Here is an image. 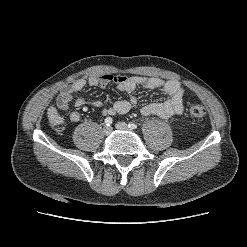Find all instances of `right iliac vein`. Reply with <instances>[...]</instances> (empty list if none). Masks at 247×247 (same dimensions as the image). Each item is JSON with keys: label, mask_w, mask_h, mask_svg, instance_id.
Masks as SVG:
<instances>
[{"label": "right iliac vein", "mask_w": 247, "mask_h": 247, "mask_svg": "<svg viewBox=\"0 0 247 247\" xmlns=\"http://www.w3.org/2000/svg\"><path fill=\"white\" fill-rule=\"evenodd\" d=\"M111 132H112V128H111V127L105 126V127L103 128V133H104L105 135H109Z\"/></svg>", "instance_id": "1"}]
</instances>
